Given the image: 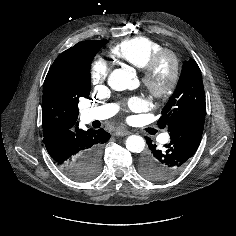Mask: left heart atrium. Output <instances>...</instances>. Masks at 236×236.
<instances>
[{
  "label": "left heart atrium",
  "instance_id": "obj_1",
  "mask_svg": "<svg viewBox=\"0 0 236 236\" xmlns=\"http://www.w3.org/2000/svg\"><path fill=\"white\" fill-rule=\"evenodd\" d=\"M143 104H144L143 100L139 97L131 98L128 101V106L132 109L140 108L143 106Z\"/></svg>",
  "mask_w": 236,
  "mask_h": 236
}]
</instances>
